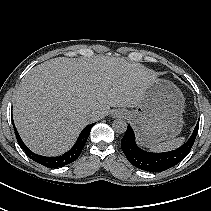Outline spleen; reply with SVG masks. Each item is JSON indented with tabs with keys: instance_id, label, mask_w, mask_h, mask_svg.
Returning <instances> with one entry per match:
<instances>
[{
	"instance_id": "spleen-1",
	"label": "spleen",
	"mask_w": 211,
	"mask_h": 211,
	"mask_svg": "<svg viewBox=\"0 0 211 211\" xmlns=\"http://www.w3.org/2000/svg\"><path fill=\"white\" fill-rule=\"evenodd\" d=\"M185 141L184 137H178L173 140L165 141L162 143H158L156 145L150 146L151 151L160 152V151H170L173 149L178 148L182 145V143Z\"/></svg>"
}]
</instances>
